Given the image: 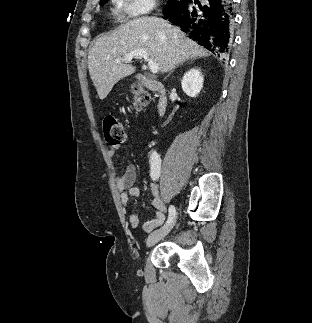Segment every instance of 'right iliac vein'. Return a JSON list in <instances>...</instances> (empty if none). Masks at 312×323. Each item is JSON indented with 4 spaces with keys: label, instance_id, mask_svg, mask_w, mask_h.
<instances>
[{
    "label": "right iliac vein",
    "instance_id": "1",
    "mask_svg": "<svg viewBox=\"0 0 312 323\" xmlns=\"http://www.w3.org/2000/svg\"><path fill=\"white\" fill-rule=\"evenodd\" d=\"M173 225H174V222L152 232L147 238L146 245L148 247H151L155 243L163 239L171 231V229L173 228Z\"/></svg>",
    "mask_w": 312,
    "mask_h": 323
}]
</instances>
